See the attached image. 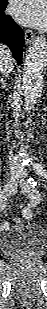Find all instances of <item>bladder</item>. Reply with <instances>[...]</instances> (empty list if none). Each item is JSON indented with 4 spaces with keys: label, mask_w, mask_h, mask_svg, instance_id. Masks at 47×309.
<instances>
[{
    "label": "bladder",
    "mask_w": 47,
    "mask_h": 309,
    "mask_svg": "<svg viewBox=\"0 0 47 309\" xmlns=\"http://www.w3.org/2000/svg\"><path fill=\"white\" fill-rule=\"evenodd\" d=\"M0 247L8 256L41 255L46 248L43 226L21 220L1 238Z\"/></svg>",
    "instance_id": "obj_1"
}]
</instances>
